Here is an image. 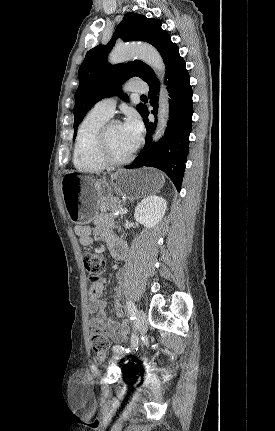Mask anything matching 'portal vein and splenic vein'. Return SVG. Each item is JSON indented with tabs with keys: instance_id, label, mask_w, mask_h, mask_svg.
<instances>
[{
	"instance_id": "1",
	"label": "portal vein and splenic vein",
	"mask_w": 275,
	"mask_h": 431,
	"mask_svg": "<svg viewBox=\"0 0 275 431\" xmlns=\"http://www.w3.org/2000/svg\"><path fill=\"white\" fill-rule=\"evenodd\" d=\"M128 212V210L127 209H123V208H121L120 209V211L118 212L119 214H126Z\"/></svg>"
}]
</instances>
